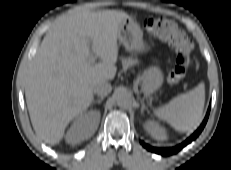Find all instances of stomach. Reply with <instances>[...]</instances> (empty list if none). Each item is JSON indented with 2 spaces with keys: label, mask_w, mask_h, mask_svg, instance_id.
Segmentation results:
<instances>
[{
  "label": "stomach",
  "mask_w": 231,
  "mask_h": 170,
  "mask_svg": "<svg viewBox=\"0 0 231 170\" xmlns=\"http://www.w3.org/2000/svg\"><path fill=\"white\" fill-rule=\"evenodd\" d=\"M118 39L126 50L133 53H142L147 46L142 39L140 26L132 19L123 20L118 29ZM162 80L161 71L158 67L148 68L142 77V89L146 93L153 92Z\"/></svg>",
  "instance_id": "0dacf381"
}]
</instances>
